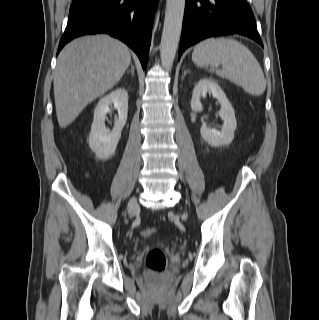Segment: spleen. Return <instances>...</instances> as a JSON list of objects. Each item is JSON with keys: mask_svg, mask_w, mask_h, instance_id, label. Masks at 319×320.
Returning a JSON list of instances; mask_svg holds the SVG:
<instances>
[{"mask_svg": "<svg viewBox=\"0 0 319 320\" xmlns=\"http://www.w3.org/2000/svg\"><path fill=\"white\" fill-rule=\"evenodd\" d=\"M198 67H212L220 77L242 87L253 96L265 92L266 79L253 53L242 43L224 37L208 38L198 43L192 53ZM222 65L223 69H216Z\"/></svg>", "mask_w": 319, "mask_h": 320, "instance_id": "obj_1", "label": "spleen"}]
</instances>
